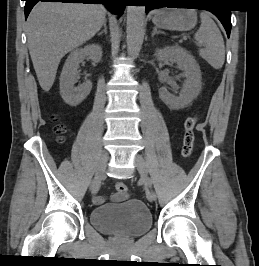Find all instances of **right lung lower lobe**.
<instances>
[{
    "instance_id": "obj_1",
    "label": "right lung lower lobe",
    "mask_w": 259,
    "mask_h": 266,
    "mask_svg": "<svg viewBox=\"0 0 259 266\" xmlns=\"http://www.w3.org/2000/svg\"><path fill=\"white\" fill-rule=\"evenodd\" d=\"M25 18L28 17L33 6L38 2H62V3H84V4H103L114 14L122 15L128 0H25Z\"/></svg>"
}]
</instances>
